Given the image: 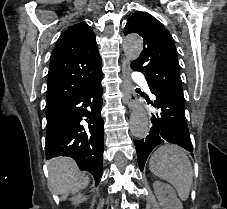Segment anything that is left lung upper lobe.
I'll return each mask as SVG.
<instances>
[{
    "instance_id": "1",
    "label": "left lung upper lobe",
    "mask_w": 227,
    "mask_h": 209,
    "mask_svg": "<svg viewBox=\"0 0 227 209\" xmlns=\"http://www.w3.org/2000/svg\"><path fill=\"white\" fill-rule=\"evenodd\" d=\"M130 33L144 40L143 52L131 68L145 74L151 92L185 105L177 50L168 30L149 13L137 11L124 28L125 35Z\"/></svg>"
}]
</instances>
